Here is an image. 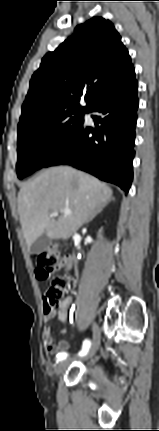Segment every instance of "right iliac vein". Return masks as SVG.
<instances>
[{
	"instance_id": "obj_1",
	"label": "right iliac vein",
	"mask_w": 159,
	"mask_h": 431,
	"mask_svg": "<svg viewBox=\"0 0 159 431\" xmlns=\"http://www.w3.org/2000/svg\"><path fill=\"white\" fill-rule=\"evenodd\" d=\"M100 340H101L100 330L98 326L94 323L93 324V343H92V348L89 352V357L93 356L98 350L100 346ZM68 365H69L68 360L61 361L55 368L56 376L61 375L66 370Z\"/></svg>"
}]
</instances>
